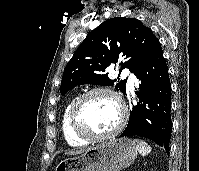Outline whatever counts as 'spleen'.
I'll return each instance as SVG.
<instances>
[{"label":"spleen","instance_id":"spleen-1","mask_svg":"<svg viewBox=\"0 0 199 171\" xmlns=\"http://www.w3.org/2000/svg\"><path fill=\"white\" fill-rule=\"evenodd\" d=\"M134 144L136 145L137 151L142 155L145 156L151 152V147L143 140L134 139Z\"/></svg>","mask_w":199,"mask_h":171}]
</instances>
